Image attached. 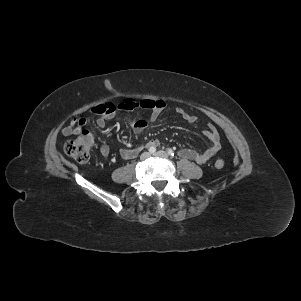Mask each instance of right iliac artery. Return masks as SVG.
<instances>
[{
    "mask_svg": "<svg viewBox=\"0 0 301 301\" xmlns=\"http://www.w3.org/2000/svg\"><path fill=\"white\" fill-rule=\"evenodd\" d=\"M149 152L150 153H155L156 152V148L155 147H150L149 148Z\"/></svg>",
    "mask_w": 301,
    "mask_h": 301,
    "instance_id": "1",
    "label": "right iliac artery"
}]
</instances>
